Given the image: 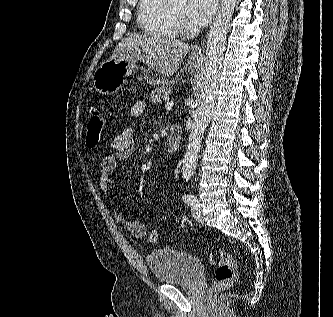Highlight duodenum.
I'll return each mask as SVG.
<instances>
[{"instance_id":"410a0bca","label":"duodenum","mask_w":333,"mask_h":317,"mask_svg":"<svg viewBox=\"0 0 333 317\" xmlns=\"http://www.w3.org/2000/svg\"><path fill=\"white\" fill-rule=\"evenodd\" d=\"M182 139V129L179 125L175 124L172 125L169 133H168V140H167V151L169 154H175L181 144Z\"/></svg>"}]
</instances>
